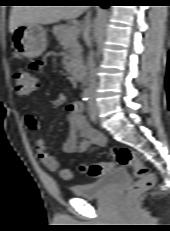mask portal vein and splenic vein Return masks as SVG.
I'll return each instance as SVG.
<instances>
[{
    "label": "portal vein and splenic vein",
    "instance_id": "1",
    "mask_svg": "<svg viewBox=\"0 0 170 231\" xmlns=\"http://www.w3.org/2000/svg\"><path fill=\"white\" fill-rule=\"evenodd\" d=\"M79 28L77 25H72L70 28L66 31V36L68 37L69 35H75L78 34Z\"/></svg>",
    "mask_w": 170,
    "mask_h": 231
}]
</instances>
